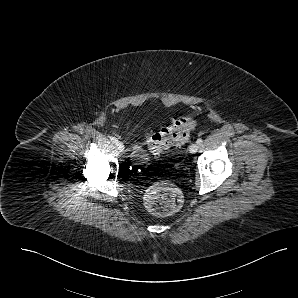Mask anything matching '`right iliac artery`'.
<instances>
[{"instance_id":"82829eb1","label":"right iliac artery","mask_w":298,"mask_h":298,"mask_svg":"<svg viewBox=\"0 0 298 298\" xmlns=\"http://www.w3.org/2000/svg\"><path fill=\"white\" fill-rule=\"evenodd\" d=\"M117 141H118L117 138H115V137L111 138V142L116 143Z\"/></svg>"}]
</instances>
